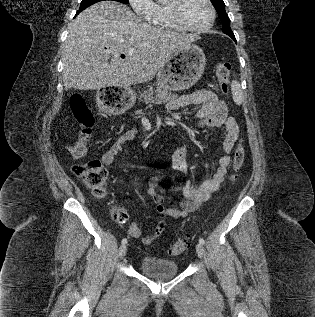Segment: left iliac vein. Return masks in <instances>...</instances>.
Listing matches in <instances>:
<instances>
[{"label":"left iliac vein","mask_w":315,"mask_h":317,"mask_svg":"<svg viewBox=\"0 0 315 317\" xmlns=\"http://www.w3.org/2000/svg\"><path fill=\"white\" fill-rule=\"evenodd\" d=\"M196 252H197V255L200 257V258H203L204 255H205V249L203 247V245L201 243H198L196 245Z\"/></svg>","instance_id":"4c4485c4"}]
</instances>
